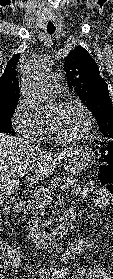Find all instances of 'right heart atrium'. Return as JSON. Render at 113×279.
<instances>
[{
  "mask_svg": "<svg viewBox=\"0 0 113 279\" xmlns=\"http://www.w3.org/2000/svg\"><path fill=\"white\" fill-rule=\"evenodd\" d=\"M11 124L14 130L28 141H38L42 135L41 121L33 114L23 97L18 99L12 112Z\"/></svg>",
  "mask_w": 113,
  "mask_h": 279,
  "instance_id": "1",
  "label": "right heart atrium"
}]
</instances>
